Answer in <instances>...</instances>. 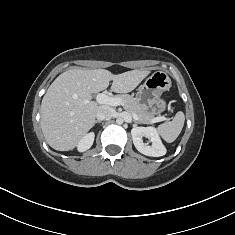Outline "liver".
I'll list each match as a JSON object with an SVG mask.
<instances>
[{
	"instance_id": "6515ba94",
	"label": "liver",
	"mask_w": 235,
	"mask_h": 235,
	"mask_svg": "<svg viewBox=\"0 0 235 235\" xmlns=\"http://www.w3.org/2000/svg\"><path fill=\"white\" fill-rule=\"evenodd\" d=\"M149 73L135 69L114 75L105 69L77 68L60 74L41 103L40 123L46 142L58 151L74 149L94 126L98 108L108 106L92 101V94L105 90L110 81L113 92H131Z\"/></svg>"
}]
</instances>
